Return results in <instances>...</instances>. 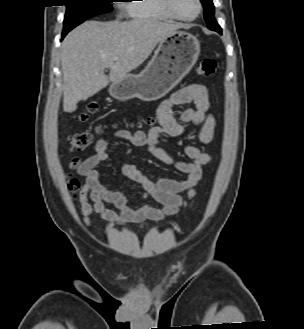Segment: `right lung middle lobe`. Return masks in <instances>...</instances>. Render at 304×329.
I'll use <instances>...</instances> for the list:
<instances>
[{
	"mask_svg": "<svg viewBox=\"0 0 304 329\" xmlns=\"http://www.w3.org/2000/svg\"><path fill=\"white\" fill-rule=\"evenodd\" d=\"M113 0H66L67 11L64 19L63 33L66 35L70 30L85 20L112 11Z\"/></svg>",
	"mask_w": 304,
	"mask_h": 329,
	"instance_id": "obj_1",
	"label": "right lung middle lobe"
}]
</instances>
